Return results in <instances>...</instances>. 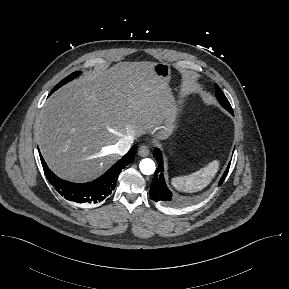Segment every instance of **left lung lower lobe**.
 <instances>
[{"label": "left lung lower lobe", "mask_w": 289, "mask_h": 289, "mask_svg": "<svg viewBox=\"0 0 289 289\" xmlns=\"http://www.w3.org/2000/svg\"><path fill=\"white\" fill-rule=\"evenodd\" d=\"M227 107L224 108L227 109L232 115H233V110L231 106L226 105ZM153 155L155 157V159L158 162V168L156 169L154 178L152 180L151 183V187H150V198L152 200H154L155 202H161V204H165V205H172L173 202L172 201V193L171 191L167 188L166 183H165V179H164V175H163V160H162V154L160 152L159 149H155L153 152ZM231 162H229L227 169L225 170L223 176L221 177L218 186H220L227 173L229 170Z\"/></svg>", "instance_id": "obj_1"}]
</instances>
